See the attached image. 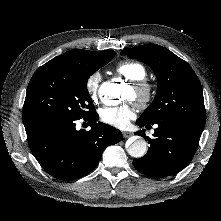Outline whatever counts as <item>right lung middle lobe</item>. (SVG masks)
Wrapping results in <instances>:
<instances>
[{
  "mask_svg": "<svg viewBox=\"0 0 221 221\" xmlns=\"http://www.w3.org/2000/svg\"><path fill=\"white\" fill-rule=\"evenodd\" d=\"M115 56L99 54L76 66L44 64L32 76L23 106V120L35 118L81 119L95 113L87 90L88 78Z\"/></svg>",
  "mask_w": 221,
  "mask_h": 221,
  "instance_id": "right-lung-middle-lobe-1",
  "label": "right lung middle lobe"
}]
</instances>
